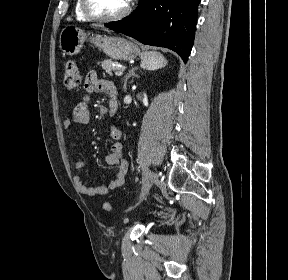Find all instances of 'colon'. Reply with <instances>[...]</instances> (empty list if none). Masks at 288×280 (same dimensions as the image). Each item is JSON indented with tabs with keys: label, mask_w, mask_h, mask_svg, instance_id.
<instances>
[{
	"label": "colon",
	"mask_w": 288,
	"mask_h": 280,
	"mask_svg": "<svg viewBox=\"0 0 288 280\" xmlns=\"http://www.w3.org/2000/svg\"><path fill=\"white\" fill-rule=\"evenodd\" d=\"M80 83V73L76 62L68 61L65 65L63 74V84L69 89H75ZM103 209L106 212H111L113 210V205L110 202H105L103 204Z\"/></svg>",
	"instance_id": "obj_1"
}]
</instances>
